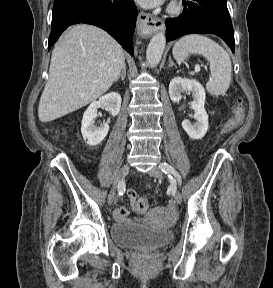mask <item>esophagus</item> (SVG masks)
<instances>
[{
    "mask_svg": "<svg viewBox=\"0 0 273 288\" xmlns=\"http://www.w3.org/2000/svg\"><path fill=\"white\" fill-rule=\"evenodd\" d=\"M164 22L153 17L150 13L140 12L137 19V29L141 34H150L158 30H164Z\"/></svg>",
    "mask_w": 273,
    "mask_h": 288,
    "instance_id": "obj_1",
    "label": "esophagus"
}]
</instances>
